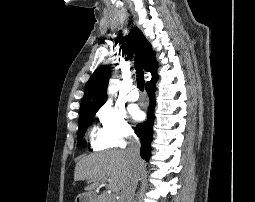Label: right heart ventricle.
Returning <instances> with one entry per match:
<instances>
[{
  "label": "right heart ventricle",
  "instance_id": "1",
  "mask_svg": "<svg viewBox=\"0 0 255 202\" xmlns=\"http://www.w3.org/2000/svg\"><path fill=\"white\" fill-rule=\"evenodd\" d=\"M92 135H93V136H96V132H95V131H93V132H92Z\"/></svg>",
  "mask_w": 255,
  "mask_h": 202
}]
</instances>
